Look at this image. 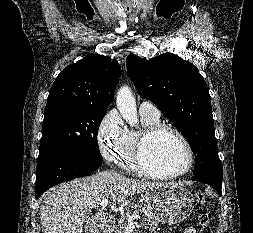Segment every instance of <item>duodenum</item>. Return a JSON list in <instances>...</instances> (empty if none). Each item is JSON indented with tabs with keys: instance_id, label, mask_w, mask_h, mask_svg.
I'll return each instance as SVG.
<instances>
[{
	"instance_id": "obj_1",
	"label": "duodenum",
	"mask_w": 253,
	"mask_h": 233,
	"mask_svg": "<svg viewBox=\"0 0 253 233\" xmlns=\"http://www.w3.org/2000/svg\"><path fill=\"white\" fill-rule=\"evenodd\" d=\"M106 224L105 223H102V224H99L97 225V229L95 230V233H104L106 231Z\"/></svg>"
}]
</instances>
